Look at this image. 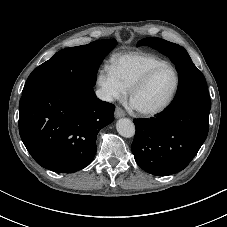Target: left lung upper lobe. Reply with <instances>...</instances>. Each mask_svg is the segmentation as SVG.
<instances>
[{
  "instance_id": "5c2ea615",
  "label": "left lung upper lobe",
  "mask_w": 227,
  "mask_h": 227,
  "mask_svg": "<svg viewBox=\"0 0 227 227\" xmlns=\"http://www.w3.org/2000/svg\"><path fill=\"white\" fill-rule=\"evenodd\" d=\"M140 45L157 49L176 65L179 72L178 90L174 102L168 109L184 106L211 108L206 80L183 47L160 38L142 39L137 44Z\"/></svg>"
}]
</instances>
